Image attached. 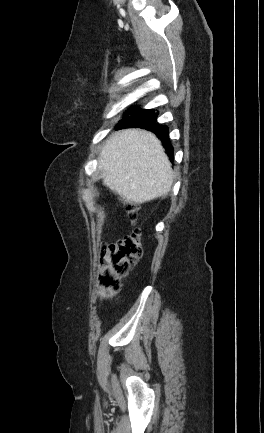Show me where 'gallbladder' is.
I'll list each match as a JSON object with an SVG mask.
<instances>
[{
  "label": "gallbladder",
  "instance_id": "obj_1",
  "mask_svg": "<svg viewBox=\"0 0 264 433\" xmlns=\"http://www.w3.org/2000/svg\"><path fill=\"white\" fill-rule=\"evenodd\" d=\"M102 177H103V174H102L101 170H99V171H98V175H97L96 180H99V179H101Z\"/></svg>",
  "mask_w": 264,
  "mask_h": 433
}]
</instances>
